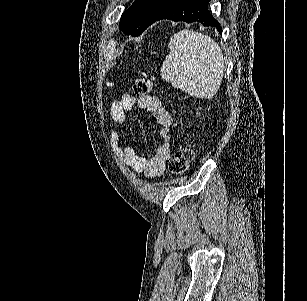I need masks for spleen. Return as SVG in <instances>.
<instances>
[{
    "label": "spleen",
    "mask_w": 307,
    "mask_h": 301,
    "mask_svg": "<svg viewBox=\"0 0 307 301\" xmlns=\"http://www.w3.org/2000/svg\"><path fill=\"white\" fill-rule=\"evenodd\" d=\"M169 48L160 68L161 78L196 98H213L224 74L218 42L203 32L183 28L171 36Z\"/></svg>",
    "instance_id": "1"
}]
</instances>
